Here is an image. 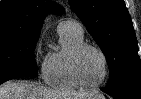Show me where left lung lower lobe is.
<instances>
[{"label":"left lung lower lobe","mask_w":141,"mask_h":99,"mask_svg":"<svg viewBox=\"0 0 141 99\" xmlns=\"http://www.w3.org/2000/svg\"><path fill=\"white\" fill-rule=\"evenodd\" d=\"M101 90L116 99H141V86L106 87Z\"/></svg>","instance_id":"left-lung-lower-lobe-1"}]
</instances>
